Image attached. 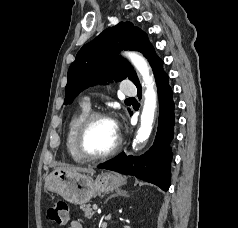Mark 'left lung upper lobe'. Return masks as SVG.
<instances>
[{
	"instance_id": "obj_1",
	"label": "left lung upper lobe",
	"mask_w": 238,
	"mask_h": 228,
	"mask_svg": "<svg viewBox=\"0 0 238 228\" xmlns=\"http://www.w3.org/2000/svg\"><path fill=\"white\" fill-rule=\"evenodd\" d=\"M121 49L138 50L147 59L154 53L147 34L131 22H120L104 30L79 50L69 67L64 104L71 103L81 91L98 82L129 78L137 85L139 80L133 67L119 56Z\"/></svg>"
}]
</instances>
